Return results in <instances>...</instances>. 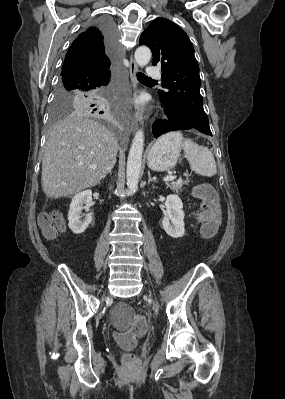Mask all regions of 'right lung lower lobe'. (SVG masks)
<instances>
[{
    "label": "right lung lower lobe",
    "instance_id": "98d812e1",
    "mask_svg": "<svg viewBox=\"0 0 285 399\" xmlns=\"http://www.w3.org/2000/svg\"><path fill=\"white\" fill-rule=\"evenodd\" d=\"M102 31L110 56V64L106 67L94 68L83 65L74 68L62 75L61 83H71L91 94H98L106 89L113 76V59L116 53L117 32L114 23L109 19H103L96 24ZM88 105L93 109H101L105 102L101 100H90Z\"/></svg>",
    "mask_w": 285,
    "mask_h": 399
}]
</instances>
